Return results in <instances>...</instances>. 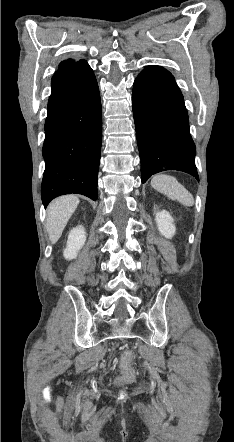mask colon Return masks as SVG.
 I'll list each match as a JSON object with an SVG mask.
<instances>
[{
    "mask_svg": "<svg viewBox=\"0 0 234 442\" xmlns=\"http://www.w3.org/2000/svg\"><path fill=\"white\" fill-rule=\"evenodd\" d=\"M134 353L131 349H128L124 352L121 358V369H122V378L118 379L119 385H124L125 381H128L129 384L137 383V376L134 374V370L132 368Z\"/></svg>",
    "mask_w": 234,
    "mask_h": 442,
    "instance_id": "obj_1",
    "label": "colon"
}]
</instances>
